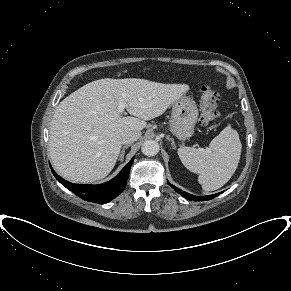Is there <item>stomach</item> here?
I'll use <instances>...</instances> for the list:
<instances>
[{
	"label": "stomach",
	"instance_id": "obj_1",
	"mask_svg": "<svg viewBox=\"0 0 291 291\" xmlns=\"http://www.w3.org/2000/svg\"><path fill=\"white\" fill-rule=\"evenodd\" d=\"M197 119L198 109L195 102L182 96L172 103L169 130L178 139L186 140L193 135Z\"/></svg>",
	"mask_w": 291,
	"mask_h": 291
}]
</instances>
